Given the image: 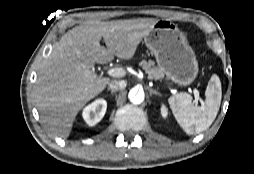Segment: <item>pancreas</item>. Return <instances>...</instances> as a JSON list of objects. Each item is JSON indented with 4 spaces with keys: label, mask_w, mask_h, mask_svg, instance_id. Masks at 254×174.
I'll return each instance as SVG.
<instances>
[{
    "label": "pancreas",
    "mask_w": 254,
    "mask_h": 174,
    "mask_svg": "<svg viewBox=\"0 0 254 174\" xmlns=\"http://www.w3.org/2000/svg\"><path fill=\"white\" fill-rule=\"evenodd\" d=\"M140 66L145 70L149 79L159 80L164 77V74L160 71L159 68L154 66V61H141Z\"/></svg>",
    "instance_id": "pancreas-1"
}]
</instances>
